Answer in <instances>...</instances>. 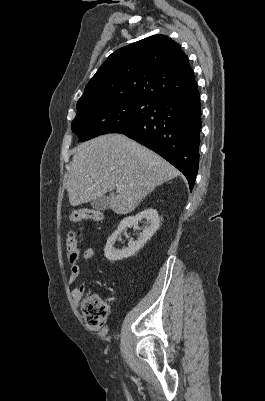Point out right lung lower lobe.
Wrapping results in <instances>:
<instances>
[{
	"label": "right lung lower lobe",
	"instance_id": "98d812e1",
	"mask_svg": "<svg viewBox=\"0 0 265 401\" xmlns=\"http://www.w3.org/2000/svg\"><path fill=\"white\" fill-rule=\"evenodd\" d=\"M201 107L197 83L157 102L154 112L113 133L124 134L155 151L187 178L193 189L199 167Z\"/></svg>",
	"mask_w": 265,
	"mask_h": 401
}]
</instances>
